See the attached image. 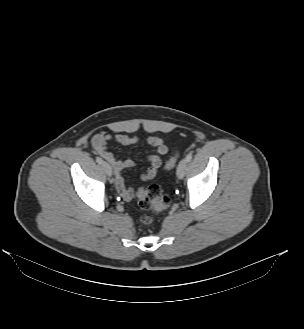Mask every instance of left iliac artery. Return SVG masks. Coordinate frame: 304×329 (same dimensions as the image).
Instances as JSON below:
<instances>
[{
	"label": "left iliac artery",
	"instance_id": "left-iliac-artery-1",
	"mask_svg": "<svg viewBox=\"0 0 304 329\" xmlns=\"http://www.w3.org/2000/svg\"><path fill=\"white\" fill-rule=\"evenodd\" d=\"M185 159L187 160V162L191 161V159H192V154H191V153L187 154V156H186Z\"/></svg>",
	"mask_w": 304,
	"mask_h": 329
}]
</instances>
